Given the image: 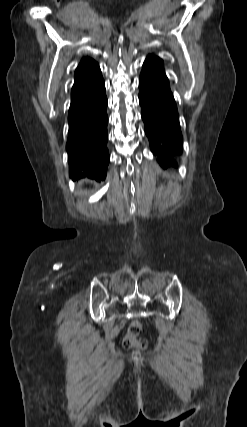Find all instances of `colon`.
Masks as SVG:
<instances>
[{"instance_id": "1", "label": "colon", "mask_w": 247, "mask_h": 427, "mask_svg": "<svg viewBox=\"0 0 247 427\" xmlns=\"http://www.w3.org/2000/svg\"><path fill=\"white\" fill-rule=\"evenodd\" d=\"M141 332V324L139 322H134L128 329V333L123 340V346L125 348H132L135 346L146 347V342L139 340L138 336Z\"/></svg>"}]
</instances>
